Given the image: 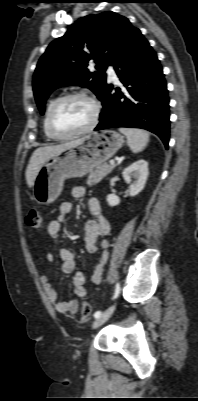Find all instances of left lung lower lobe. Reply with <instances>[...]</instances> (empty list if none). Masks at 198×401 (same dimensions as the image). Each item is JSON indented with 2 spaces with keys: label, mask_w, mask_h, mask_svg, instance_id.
I'll return each instance as SVG.
<instances>
[{
  "label": "left lung lower lobe",
  "mask_w": 198,
  "mask_h": 401,
  "mask_svg": "<svg viewBox=\"0 0 198 401\" xmlns=\"http://www.w3.org/2000/svg\"><path fill=\"white\" fill-rule=\"evenodd\" d=\"M123 84L111 93L106 84L95 131L111 127H137L157 134L166 148L169 142V98L162 67L155 51L137 29L113 64Z\"/></svg>",
  "instance_id": "left-lung-lower-lobe-1"
}]
</instances>
